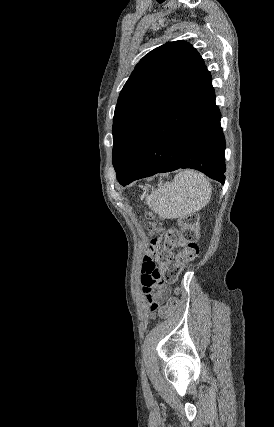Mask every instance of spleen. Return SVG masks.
Wrapping results in <instances>:
<instances>
[{
  "instance_id": "3e777b00",
  "label": "spleen",
  "mask_w": 274,
  "mask_h": 427,
  "mask_svg": "<svg viewBox=\"0 0 274 427\" xmlns=\"http://www.w3.org/2000/svg\"><path fill=\"white\" fill-rule=\"evenodd\" d=\"M211 198L210 184L204 174L183 170L173 182L159 184V188L147 196L150 210L163 219L185 217L205 208Z\"/></svg>"
}]
</instances>
